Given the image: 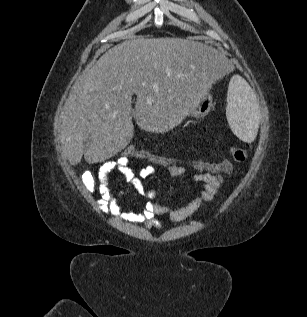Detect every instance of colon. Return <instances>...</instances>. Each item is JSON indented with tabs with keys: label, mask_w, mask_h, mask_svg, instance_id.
Returning <instances> with one entry per match:
<instances>
[{
	"label": "colon",
	"mask_w": 307,
	"mask_h": 317,
	"mask_svg": "<svg viewBox=\"0 0 307 317\" xmlns=\"http://www.w3.org/2000/svg\"><path fill=\"white\" fill-rule=\"evenodd\" d=\"M230 157L237 163H245L248 160V152L240 147H231L229 150ZM117 159H123L127 162L139 160L149 165L157 167L183 166L186 165L197 172L208 173L217 176H226L231 172L232 163L229 160H223L218 163L205 160H179L173 157L159 155L134 145H125L117 153ZM84 187L92 192L97 187V179L91 172H85L82 175Z\"/></svg>",
	"instance_id": "colon-1"
}]
</instances>
